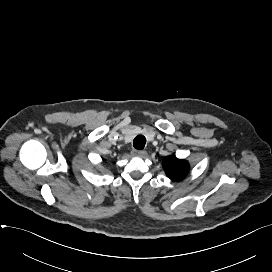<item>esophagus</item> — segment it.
<instances>
[{
    "instance_id": "34e87169",
    "label": "esophagus",
    "mask_w": 272,
    "mask_h": 272,
    "mask_svg": "<svg viewBox=\"0 0 272 272\" xmlns=\"http://www.w3.org/2000/svg\"><path fill=\"white\" fill-rule=\"evenodd\" d=\"M133 154L135 156H138V157H145L146 156V152L145 151H142V150H134L133 151Z\"/></svg>"
}]
</instances>
